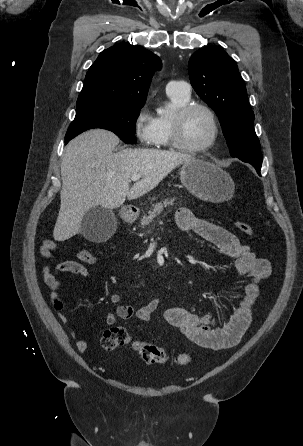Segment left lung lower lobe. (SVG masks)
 <instances>
[{
    "instance_id": "1",
    "label": "left lung lower lobe",
    "mask_w": 303,
    "mask_h": 446,
    "mask_svg": "<svg viewBox=\"0 0 303 446\" xmlns=\"http://www.w3.org/2000/svg\"><path fill=\"white\" fill-rule=\"evenodd\" d=\"M255 169H256L257 173L260 174V168L255 167Z\"/></svg>"
}]
</instances>
